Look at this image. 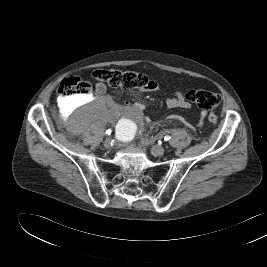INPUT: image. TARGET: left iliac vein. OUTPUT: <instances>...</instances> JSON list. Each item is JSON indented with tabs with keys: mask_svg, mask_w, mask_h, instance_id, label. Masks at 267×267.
Masks as SVG:
<instances>
[{
	"mask_svg": "<svg viewBox=\"0 0 267 267\" xmlns=\"http://www.w3.org/2000/svg\"><path fill=\"white\" fill-rule=\"evenodd\" d=\"M164 152H165V148L163 146H160V145H154L151 148V153L154 156H161L164 154Z\"/></svg>",
	"mask_w": 267,
	"mask_h": 267,
	"instance_id": "1",
	"label": "left iliac vein"
}]
</instances>
